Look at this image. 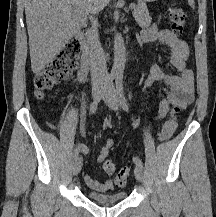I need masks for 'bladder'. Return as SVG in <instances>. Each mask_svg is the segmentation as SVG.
Instances as JSON below:
<instances>
[{
	"mask_svg": "<svg viewBox=\"0 0 216 217\" xmlns=\"http://www.w3.org/2000/svg\"><path fill=\"white\" fill-rule=\"evenodd\" d=\"M87 195L92 202L102 205L117 204L125 200L127 197V193L125 191H115L109 193L88 191Z\"/></svg>",
	"mask_w": 216,
	"mask_h": 217,
	"instance_id": "31cf9c89",
	"label": "bladder"
}]
</instances>
